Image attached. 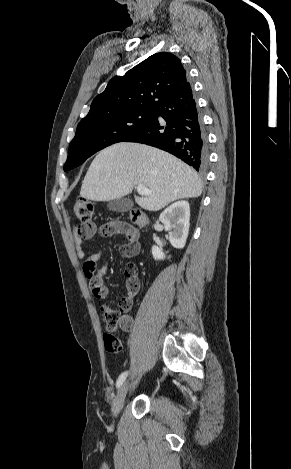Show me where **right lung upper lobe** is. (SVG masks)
Here are the masks:
<instances>
[{
	"mask_svg": "<svg viewBox=\"0 0 291 469\" xmlns=\"http://www.w3.org/2000/svg\"><path fill=\"white\" fill-rule=\"evenodd\" d=\"M187 86L190 84L180 59L171 53H156L124 76L113 77L104 92L94 98L83 120L134 109L153 110L171 92Z\"/></svg>",
	"mask_w": 291,
	"mask_h": 469,
	"instance_id": "1",
	"label": "right lung upper lobe"
}]
</instances>
